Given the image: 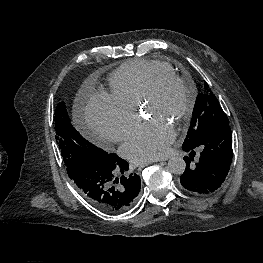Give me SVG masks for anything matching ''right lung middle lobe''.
<instances>
[{
  "mask_svg": "<svg viewBox=\"0 0 263 263\" xmlns=\"http://www.w3.org/2000/svg\"><path fill=\"white\" fill-rule=\"evenodd\" d=\"M55 131L69 177L82 165L104 161L108 154L84 139L71 124L64 102L57 105Z\"/></svg>",
  "mask_w": 263,
  "mask_h": 263,
  "instance_id": "dd1d6c3e",
  "label": "right lung middle lobe"
}]
</instances>
